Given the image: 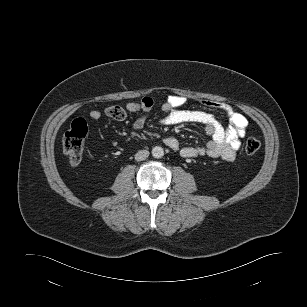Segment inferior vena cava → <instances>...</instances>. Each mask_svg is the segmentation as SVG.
<instances>
[{
    "label": "inferior vena cava",
    "instance_id": "inferior-vena-cava-1",
    "mask_svg": "<svg viewBox=\"0 0 307 307\" xmlns=\"http://www.w3.org/2000/svg\"><path fill=\"white\" fill-rule=\"evenodd\" d=\"M149 156V151L147 150H140L135 154L136 161H143Z\"/></svg>",
    "mask_w": 307,
    "mask_h": 307
}]
</instances>
